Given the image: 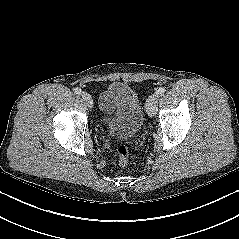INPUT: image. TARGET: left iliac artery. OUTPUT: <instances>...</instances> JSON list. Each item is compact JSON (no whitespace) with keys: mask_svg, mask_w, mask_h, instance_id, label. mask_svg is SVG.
I'll return each instance as SVG.
<instances>
[{"mask_svg":"<svg viewBox=\"0 0 239 239\" xmlns=\"http://www.w3.org/2000/svg\"><path fill=\"white\" fill-rule=\"evenodd\" d=\"M165 92H166V88L165 87H160L157 90L156 94H158L160 96V95H163Z\"/></svg>","mask_w":239,"mask_h":239,"instance_id":"obj_1","label":"left iliac artery"}]
</instances>
